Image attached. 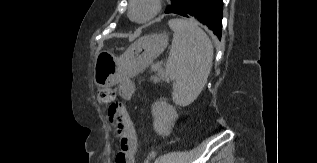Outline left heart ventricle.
Masks as SVG:
<instances>
[{"label": "left heart ventricle", "instance_id": "obj_1", "mask_svg": "<svg viewBox=\"0 0 317 163\" xmlns=\"http://www.w3.org/2000/svg\"><path fill=\"white\" fill-rule=\"evenodd\" d=\"M151 11L150 0H137L133 9V16L137 19L146 17Z\"/></svg>", "mask_w": 317, "mask_h": 163}]
</instances>
